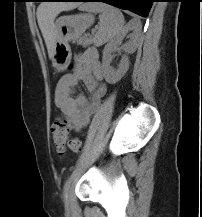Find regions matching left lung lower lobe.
<instances>
[{
	"instance_id": "left-lung-lower-lobe-1",
	"label": "left lung lower lobe",
	"mask_w": 202,
	"mask_h": 217,
	"mask_svg": "<svg viewBox=\"0 0 202 217\" xmlns=\"http://www.w3.org/2000/svg\"><path fill=\"white\" fill-rule=\"evenodd\" d=\"M41 1H71V2H104L112 6L127 9L142 17H147L155 0H41Z\"/></svg>"
}]
</instances>
